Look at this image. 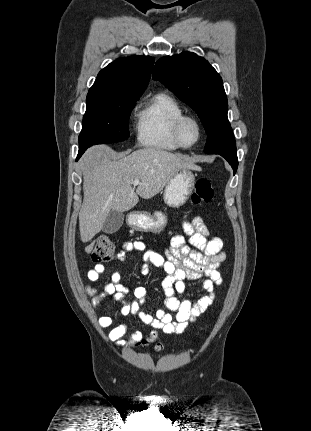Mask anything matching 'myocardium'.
I'll use <instances>...</instances> for the list:
<instances>
[{
  "instance_id": "obj_1",
  "label": "myocardium",
  "mask_w": 311,
  "mask_h": 431,
  "mask_svg": "<svg viewBox=\"0 0 311 431\" xmlns=\"http://www.w3.org/2000/svg\"><path fill=\"white\" fill-rule=\"evenodd\" d=\"M188 119H194L199 126L200 135L198 136V139L194 143L185 142L183 135H182V126H183L184 122ZM204 134H205L204 124H203L202 120L197 115L190 114V113H184L177 118V120L174 124V136H175V139H176L178 145L182 148L188 149V148H192V147L198 145L200 143V141L202 140Z\"/></svg>"
}]
</instances>
